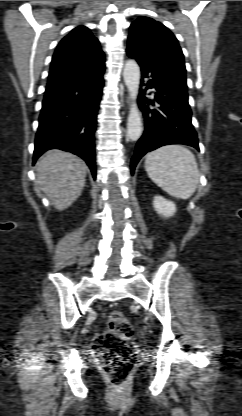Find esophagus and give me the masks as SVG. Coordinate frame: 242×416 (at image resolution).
Wrapping results in <instances>:
<instances>
[{
    "label": "esophagus",
    "mask_w": 242,
    "mask_h": 416,
    "mask_svg": "<svg viewBox=\"0 0 242 416\" xmlns=\"http://www.w3.org/2000/svg\"><path fill=\"white\" fill-rule=\"evenodd\" d=\"M127 103L130 104V99H127Z\"/></svg>",
    "instance_id": "obj_1"
}]
</instances>
